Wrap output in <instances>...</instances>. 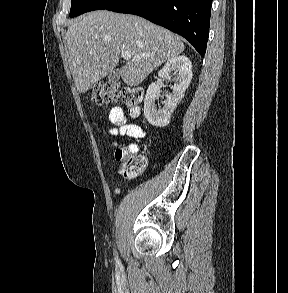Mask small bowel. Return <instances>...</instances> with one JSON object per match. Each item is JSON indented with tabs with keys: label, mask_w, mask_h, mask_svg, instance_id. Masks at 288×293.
I'll return each mask as SVG.
<instances>
[{
	"label": "small bowel",
	"mask_w": 288,
	"mask_h": 293,
	"mask_svg": "<svg viewBox=\"0 0 288 293\" xmlns=\"http://www.w3.org/2000/svg\"><path fill=\"white\" fill-rule=\"evenodd\" d=\"M110 121L117 125V127L111 128L108 130V134L111 136H127L134 139H141L145 137V132L137 124L129 123L127 117L124 114V111L121 107L115 106L110 110L109 113ZM115 142H112L111 145L115 146ZM131 153H136L138 147L135 144L129 146ZM118 191V189L116 190Z\"/></svg>",
	"instance_id": "small-bowel-1"
}]
</instances>
